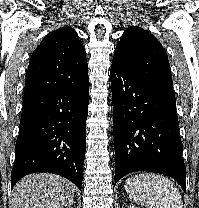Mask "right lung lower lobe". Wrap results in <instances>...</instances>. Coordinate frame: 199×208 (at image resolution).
<instances>
[{
    "label": "right lung lower lobe",
    "mask_w": 199,
    "mask_h": 208,
    "mask_svg": "<svg viewBox=\"0 0 199 208\" xmlns=\"http://www.w3.org/2000/svg\"><path fill=\"white\" fill-rule=\"evenodd\" d=\"M88 103V78L23 99L12 188L22 177L36 172L61 175L82 188Z\"/></svg>",
    "instance_id": "right-lung-lower-lobe-1"
}]
</instances>
